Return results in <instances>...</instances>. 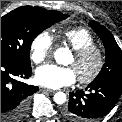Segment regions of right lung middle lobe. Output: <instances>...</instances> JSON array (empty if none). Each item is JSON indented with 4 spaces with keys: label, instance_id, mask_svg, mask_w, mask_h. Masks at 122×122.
Returning a JSON list of instances; mask_svg holds the SVG:
<instances>
[{
    "label": "right lung middle lobe",
    "instance_id": "right-lung-middle-lobe-1",
    "mask_svg": "<svg viewBox=\"0 0 122 122\" xmlns=\"http://www.w3.org/2000/svg\"><path fill=\"white\" fill-rule=\"evenodd\" d=\"M68 15L40 7L22 6L1 17V57L31 67L30 47L43 30Z\"/></svg>",
    "mask_w": 122,
    "mask_h": 122
}]
</instances>
